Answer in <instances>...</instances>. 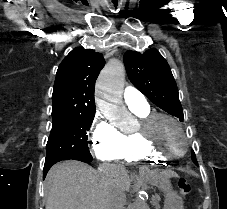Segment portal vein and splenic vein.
I'll return each mask as SVG.
<instances>
[{
  "label": "portal vein and splenic vein",
  "instance_id": "portal-vein-and-splenic-vein-1",
  "mask_svg": "<svg viewBox=\"0 0 227 209\" xmlns=\"http://www.w3.org/2000/svg\"><path fill=\"white\" fill-rule=\"evenodd\" d=\"M151 200H152V201H156V200H157V197H156V196H152V197H151Z\"/></svg>",
  "mask_w": 227,
  "mask_h": 209
}]
</instances>
